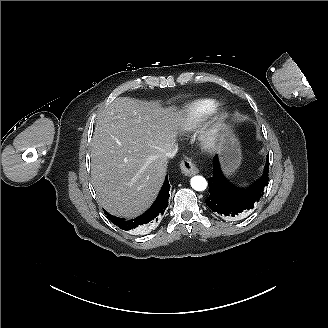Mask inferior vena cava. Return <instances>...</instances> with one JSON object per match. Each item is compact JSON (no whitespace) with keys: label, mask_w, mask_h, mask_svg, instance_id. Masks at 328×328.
<instances>
[{"label":"inferior vena cava","mask_w":328,"mask_h":328,"mask_svg":"<svg viewBox=\"0 0 328 328\" xmlns=\"http://www.w3.org/2000/svg\"><path fill=\"white\" fill-rule=\"evenodd\" d=\"M177 152H178V146L177 145H172L166 150L165 156L169 159H172V158L175 157Z\"/></svg>","instance_id":"obj_1"}]
</instances>
